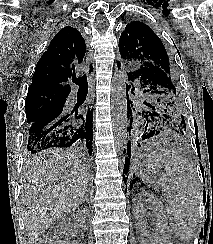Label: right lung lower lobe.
<instances>
[{
    "instance_id": "98d812e1",
    "label": "right lung lower lobe",
    "mask_w": 213,
    "mask_h": 244,
    "mask_svg": "<svg viewBox=\"0 0 213 244\" xmlns=\"http://www.w3.org/2000/svg\"><path fill=\"white\" fill-rule=\"evenodd\" d=\"M63 109L64 105L56 107L31 123L26 133L29 154H36L47 148L70 147L79 143H84L91 154L92 112L88 110L84 118L83 115L65 114Z\"/></svg>"
}]
</instances>
